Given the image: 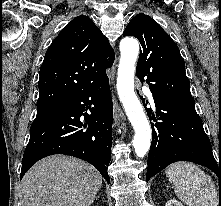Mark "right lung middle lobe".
Returning a JSON list of instances; mask_svg holds the SVG:
<instances>
[{
    "label": "right lung middle lobe",
    "instance_id": "dd1d6c3e",
    "mask_svg": "<svg viewBox=\"0 0 221 206\" xmlns=\"http://www.w3.org/2000/svg\"><path fill=\"white\" fill-rule=\"evenodd\" d=\"M42 109H45V108H41V109L38 108L37 110H42Z\"/></svg>",
    "mask_w": 221,
    "mask_h": 206
}]
</instances>
